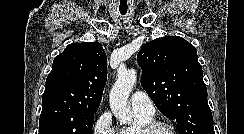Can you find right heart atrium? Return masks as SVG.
Instances as JSON below:
<instances>
[{"label": "right heart atrium", "mask_w": 244, "mask_h": 134, "mask_svg": "<svg viewBox=\"0 0 244 134\" xmlns=\"http://www.w3.org/2000/svg\"><path fill=\"white\" fill-rule=\"evenodd\" d=\"M92 134H116L110 112L106 111L96 119L93 124Z\"/></svg>", "instance_id": "1"}]
</instances>
